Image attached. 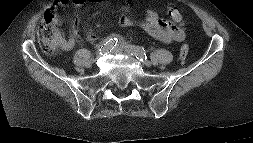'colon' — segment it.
<instances>
[{
  "label": "colon",
  "mask_w": 253,
  "mask_h": 143,
  "mask_svg": "<svg viewBox=\"0 0 253 143\" xmlns=\"http://www.w3.org/2000/svg\"><path fill=\"white\" fill-rule=\"evenodd\" d=\"M38 41L41 49L46 53H53L63 44V35L61 30L53 23L51 13H46L43 22L38 28ZM189 54V45L183 44L180 49V61L184 63Z\"/></svg>",
  "instance_id": "colon-1"
}]
</instances>
